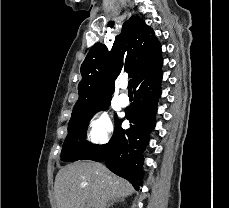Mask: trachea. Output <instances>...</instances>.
<instances>
[{"mask_svg": "<svg viewBox=\"0 0 229 208\" xmlns=\"http://www.w3.org/2000/svg\"><path fill=\"white\" fill-rule=\"evenodd\" d=\"M128 91H132V80L128 81Z\"/></svg>", "mask_w": 229, "mask_h": 208, "instance_id": "trachea-1", "label": "trachea"}]
</instances>
